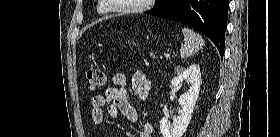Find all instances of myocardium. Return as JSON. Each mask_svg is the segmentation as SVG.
Wrapping results in <instances>:
<instances>
[{
	"instance_id": "myocardium-1",
	"label": "myocardium",
	"mask_w": 280,
	"mask_h": 137,
	"mask_svg": "<svg viewBox=\"0 0 280 137\" xmlns=\"http://www.w3.org/2000/svg\"><path fill=\"white\" fill-rule=\"evenodd\" d=\"M103 1L106 2L105 5L108 9H111L115 12L122 13V14H133V13L143 11L147 8L148 4L150 2H152V0H138L139 1L138 4H135V5H132V6H129L126 8L116 9L111 4L107 3L108 0H103Z\"/></svg>"
}]
</instances>
